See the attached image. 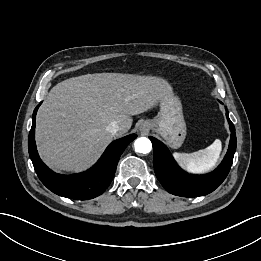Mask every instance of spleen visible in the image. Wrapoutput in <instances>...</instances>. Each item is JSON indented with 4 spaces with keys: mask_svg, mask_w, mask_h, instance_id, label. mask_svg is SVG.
<instances>
[{
    "mask_svg": "<svg viewBox=\"0 0 261 261\" xmlns=\"http://www.w3.org/2000/svg\"><path fill=\"white\" fill-rule=\"evenodd\" d=\"M222 149L221 141L216 139L210 146L193 153L175 152L174 158L187 171L204 173L217 163Z\"/></svg>",
    "mask_w": 261,
    "mask_h": 261,
    "instance_id": "spleen-1",
    "label": "spleen"
}]
</instances>
